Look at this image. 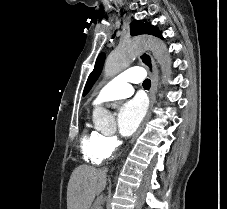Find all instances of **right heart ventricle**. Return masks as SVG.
Masks as SVG:
<instances>
[{
    "label": "right heart ventricle",
    "mask_w": 227,
    "mask_h": 209,
    "mask_svg": "<svg viewBox=\"0 0 227 209\" xmlns=\"http://www.w3.org/2000/svg\"><path fill=\"white\" fill-rule=\"evenodd\" d=\"M82 153L86 162L92 165H101L107 160L112 150L107 146L106 135L99 130L85 131L82 138Z\"/></svg>",
    "instance_id": "1"
}]
</instances>
